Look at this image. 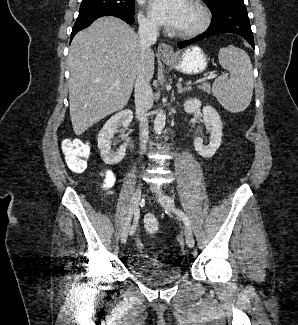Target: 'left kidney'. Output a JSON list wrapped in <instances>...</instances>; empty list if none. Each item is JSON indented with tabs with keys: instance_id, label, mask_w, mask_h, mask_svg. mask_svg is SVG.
Listing matches in <instances>:
<instances>
[{
	"instance_id": "obj_1",
	"label": "left kidney",
	"mask_w": 298,
	"mask_h": 325,
	"mask_svg": "<svg viewBox=\"0 0 298 325\" xmlns=\"http://www.w3.org/2000/svg\"><path fill=\"white\" fill-rule=\"evenodd\" d=\"M183 106L185 112H188V114L197 112V110H202L205 126L210 132V142L209 144H203V138H201V136H195L194 146L200 156L210 158V156L215 154L217 148H219L223 134V122L219 112H217L216 108L210 106V104L202 106V102L199 98H187V100H184Z\"/></svg>"
}]
</instances>
